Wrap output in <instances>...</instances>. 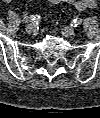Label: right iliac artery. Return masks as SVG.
<instances>
[{
	"instance_id": "right-iliac-artery-1",
	"label": "right iliac artery",
	"mask_w": 100,
	"mask_h": 118,
	"mask_svg": "<svg viewBox=\"0 0 100 118\" xmlns=\"http://www.w3.org/2000/svg\"><path fill=\"white\" fill-rule=\"evenodd\" d=\"M40 20V16L39 15H30V16H26L23 19L24 23H29V22H36L38 23Z\"/></svg>"
}]
</instances>
